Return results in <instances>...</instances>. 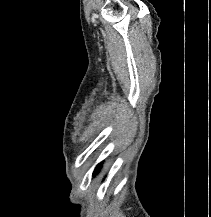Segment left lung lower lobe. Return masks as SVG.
<instances>
[{
	"label": "left lung lower lobe",
	"mask_w": 211,
	"mask_h": 217,
	"mask_svg": "<svg viewBox=\"0 0 211 217\" xmlns=\"http://www.w3.org/2000/svg\"><path fill=\"white\" fill-rule=\"evenodd\" d=\"M102 163H100L99 165H97V167L95 168L94 171V175L100 170Z\"/></svg>",
	"instance_id": "left-lung-lower-lobe-1"
}]
</instances>
